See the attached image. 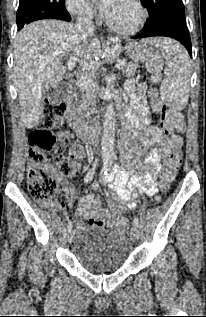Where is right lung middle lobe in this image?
<instances>
[{
	"label": "right lung middle lobe",
	"mask_w": 206,
	"mask_h": 317,
	"mask_svg": "<svg viewBox=\"0 0 206 317\" xmlns=\"http://www.w3.org/2000/svg\"><path fill=\"white\" fill-rule=\"evenodd\" d=\"M68 14L65 0H20L17 10V27L40 19H59Z\"/></svg>",
	"instance_id": "right-lung-middle-lobe-1"
}]
</instances>
